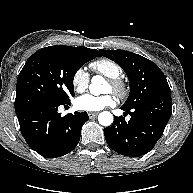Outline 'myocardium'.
<instances>
[{
	"instance_id": "f54148a6",
	"label": "myocardium",
	"mask_w": 193,
	"mask_h": 193,
	"mask_svg": "<svg viewBox=\"0 0 193 193\" xmlns=\"http://www.w3.org/2000/svg\"><path fill=\"white\" fill-rule=\"evenodd\" d=\"M108 83L113 92L118 98L123 99L128 94V86L121 78H109Z\"/></svg>"
}]
</instances>
